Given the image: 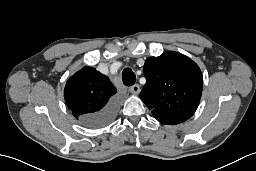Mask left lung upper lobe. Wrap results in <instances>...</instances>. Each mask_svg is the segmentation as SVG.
Listing matches in <instances>:
<instances>
[{"instance_id":"5c2ea615","label":"left lung upper lobe","mask_w":256,"mask_h":171,"mask_svg":"<svg viewBox=\"0 0 256 171\" xmlns=\"http://www.w3.org/2000/svg\"><path fill=\"white\" fill-rule=\"evenodd\" d=\"M146 83L141 100L163 124H178L189 119L197 109L203 77L198 65L178 52H165L145 61Z\"/></svg>"}]
</instances>
